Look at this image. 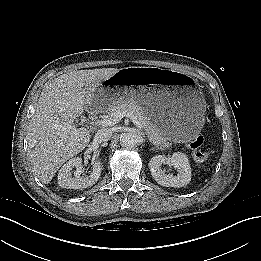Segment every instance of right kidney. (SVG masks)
<instances>
[{
    "label": "right kidney",
    "instance_id": "ca27d5eb",
    "mask_svg": "<svg viewBox=\"0 0 261 261\" xmlns=\"http://www.w3.org/2000/svg\"><path fill=\"white\" fill-rule=\"evenodd\" d=\"M76 168L72 176L71 170ZM101 162L96 160L93 162V170L89 175H84L82 159L74 157L62 166L58 173V184L62 188L67 189H84L94 185L101 175Z\"/></svg>",
    "mask_w": 261,
    "mask_h": 261
}]
</instances>
